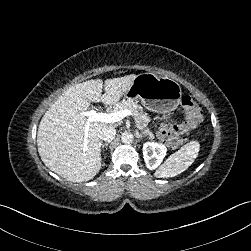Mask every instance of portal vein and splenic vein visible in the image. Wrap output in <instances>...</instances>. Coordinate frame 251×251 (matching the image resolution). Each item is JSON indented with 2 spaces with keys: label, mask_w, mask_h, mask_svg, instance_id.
I'll return each instance as SVG.
<instances>
[{
  "label": "portal vein and splenic vein",
  "mask_w": 251,
  "mask_h": 251,
  "mask_svg": "<svg viewBox=\"0 0 251 251\" xmlns=\"http://www.w3.org/2000/svg\"><path fill=\"white\" fill-rule=\"evenodd\" d=\"M83 116L88 117L84 127V149L87 148L88 131L90 129V123L101 122V123H115L119 122L127 116L132 115V112L128 109L114 110L111 113H101L95 110L85 111L81 113Z\"/></svg>",
  "instance_id": "obj_1"
}]
</instances>
